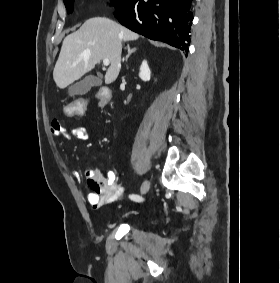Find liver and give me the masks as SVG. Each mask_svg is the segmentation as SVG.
<instances>
[{
	"mask_svg": "<svg viewBox=\"0 0 280 283\" xmlns=\"http://www.w3.org/2000/svg\"><path fill=\"white\" fill-rule=\"evenodd\" d=\"M138 38L137 33L111 19L94 17L86 20L79 30L66 36L63 41L53 71L56 85L64 89L94 69L103 59L110 61L105 83L114 82L121 69L122 42Z\"/></svg>",
	"mask_w": 280,
	"mask_h": 283,
	"instance_id": "1",
	"label": "liver"
}]
</instances>
